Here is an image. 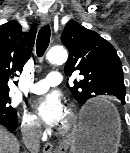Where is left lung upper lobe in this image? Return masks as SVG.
<instances>
[{"label": "left lung upper lobe", "mask_w": 130, "mask_h": 153, "mask_svg": "<svg viewBox=\"0 0 130 153\" xmlns=\"http://www.w3.org/2000/svg\"><path fill=\"white\" fill-rule=\"evenodd\" d=\"M61 40L69 50L64 67L66 76L74 71H80L82 76L74 80L73 87L67 84L77 102L84 104L101 95L125 100L122 64L108 41L74 20L65 26Z\"/></svg>", "instance_id": "left-lung-upper-lobe-1"}]
</instances>
